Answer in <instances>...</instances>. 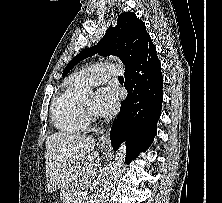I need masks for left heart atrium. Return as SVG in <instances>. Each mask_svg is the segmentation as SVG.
Wrapping results in <instances>:
<instances>
[{"label":"left heart atrium","instance_id":"39dd6f15","mask_svg":"<svg viewBox=\"0 0 222 203\" xmlns=\"http://www.w3.org/2000/svg\"><path fill=\"white\" fill-rule=\"evenodd\" d=\"M118 107V98L114 89L103 87L96 93L94 99V112L101 116H110L114 114Z\"/></svg>","mask_w":222,"mask_h":203}]
</instances>
